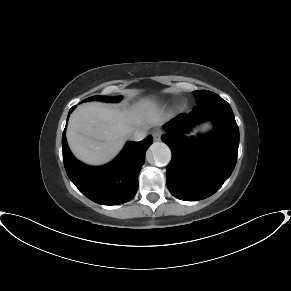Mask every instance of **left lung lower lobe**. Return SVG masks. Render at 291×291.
<instances>
[{"instance_id": "0a47b994", "label": "left lung lower lobe", "mask_w": 291, "mask_h": 291, "mask_svg": "<svg viewBox=\"0 0 291 291\" xmlns=\"http://www.w3.org/2000/svg\"><path fill=\"white\" fill-rule=\"evenodd\" d=\"M204 119L215 122L207 136L188 137L191 127ZM164 129L162 141L172 151L166 169L170 193L184 201L214 194L231 175L237 160L239 128L230 105L218 95L204 100L188 115L180 114Z\"/></svg>"}]
</instances>
